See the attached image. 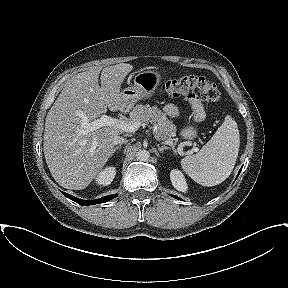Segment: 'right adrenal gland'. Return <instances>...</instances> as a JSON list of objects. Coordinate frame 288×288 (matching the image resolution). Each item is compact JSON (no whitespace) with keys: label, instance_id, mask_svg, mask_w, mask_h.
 <instances>
[{"label":"right adrenal gland","instance_id":"2a0ac1e0","mask_svg":"<svg viewBox=\"0 0 288 288\" xmlns=\"http://www.w3.org/2000/svg\"><path fill=\"white\" fill-rule=\"evenodd\" d=\"M121 149V145H118V146H116L115 148H114V151H113V153H115L116 152V150H120Z\"/></svg>","mask_w":288,"mask_h":288}]
</instances>
